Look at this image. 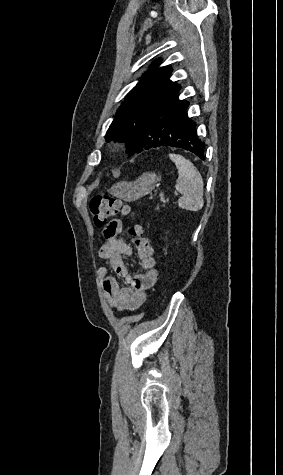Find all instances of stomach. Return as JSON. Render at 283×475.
Instances as JSON below:
<instances>
[{
  "label": "stomach",
  "mask_w": 283,
  "mask_h": 475,
  "mask_svg": "<svg viewBox=\"0 0 283 475\" xmlns=\"http://www.w3.org/2000/svg\"><path fill=\"white\" fill-rule=\"evenodd\" d=\"M159 180L160 178L154 172H146L136 182H118V184H114L110 194L115 198L124 200V202H135L142 196L151 194Z\"/></svg>",
  "instance_id": "0dacf381"
}]
</instances>
